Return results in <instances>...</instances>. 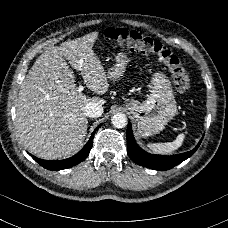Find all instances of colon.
I'll return each instance as SVG.
<instances>
[{"label":"colon","instance_id":"colon-1","mask_svg":"<svg viewBox=\"0 0 228 228\" xmlns=\"http://www.w3.org/2000/svg\"><path fill=\"white\" fill-rule=\"evenodd\" d=\"M106 37L116 46H130L140 53L157 56L171 74L175 92L186 95L190 90V79L179 57L161 42L143 33L126 28H110Z\"/></svg>","mask_w":228,"mask_h":228}]
</instances>
